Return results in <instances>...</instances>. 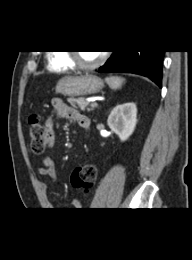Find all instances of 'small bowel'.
Masks as SVG:
<instances>
[{"instance_id":"c3829d8e","label":"small bowel","mask_w":192,"mask_h":260,"mask_svg":"<svg viewBox=\"0 0 192 260\" xmlns=\"http://www.w3.org/2000/svg\"><path fill=\"white\" fill-rule=\"evenodd\" d=\"M51 105L55 114L60 118L70 119L78 123L80 126L83 122H89V119L85 115L81 114L79 111L66 104L61 98H57V97L52 98ZM45 127L49 135V140H50L49 147H52L55 141V132H54L51 117L47 119ZM38 174L40 176H47L55 181L56 167H55L54 160L50 157H45L43 159V165L38 168ZM40 188L42 192L45 194L47 190V186L44 182H40ZM72 207L76 210H80L84 207V204L81 200L74 199L72 201Z\"/></svg>"}]
</instances>
